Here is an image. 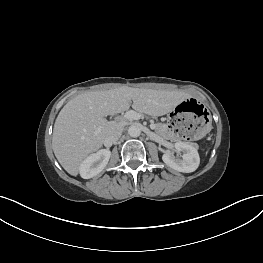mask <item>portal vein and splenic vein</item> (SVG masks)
<instances>
[{"label": "portal vein and splenic vein", "instance_id": "portal-vein-and-splenic-vein-1", "mask_svg": "<svg viewBox=\"0 0 263 263\" xmlns=\"http://www.w3.org/2000/svg\"><path fill=\"white\" fill-rule=\"evenodd\" d=\"M124 118L125 119H130V120H139L141 118V115L139 113H137L136 111L133 110H129L124 114ZM150 129L151 130H155L156 129V125L151 123L150 124ZM100 132V128H98V130L96 131L95 134Z\"/></svg>", "mask_w": 263, "mask_h": 263}]
</instances>
